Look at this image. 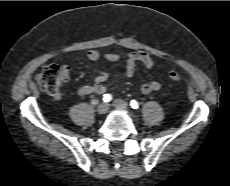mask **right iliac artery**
I'll return each instance as SVG.
<instances>
[{
    "mask_svg": "<svg viewBox=\"0 0 230 186\" xmlns=\"http://www.w3.org/2000/svg\"><path fill=\"white\" fill-rule=\"evenodd\" d=\"M112 100V96L110 94H104L103 95V101L104 102H110Z\"/></svg>",
    "mask_w": 230,
    "mask_h": 186,
    "instance_id": "1",
    "label": "right iliac artery"
}]
</instances>
